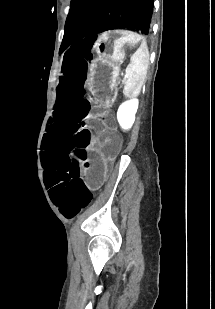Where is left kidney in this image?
<instances>
[{
    "label": "left kidney",
    "mask_w": 215,
    "mask_h": 309,
    "mask_svg": "<svg viewBox=\"0 0 215 309\" xmlns=\"http://www.w3.org/2000/svg\"><path fill=\"white\" fill-rule=\"evenodd\" d=\"M138 104V98H132V100H126V102H122V104H120L117 110V120L121 128H124V130L131 128L135 120Z\"/></svg>",
    "instance_id": "left-kidney-1"
}]
</instances>
